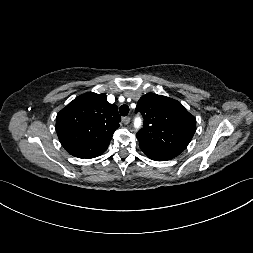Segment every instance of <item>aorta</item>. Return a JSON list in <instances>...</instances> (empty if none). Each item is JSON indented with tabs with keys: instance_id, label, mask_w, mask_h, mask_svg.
Segmentation results:
<instances>
[{
	"instance_id": "762f6f07",
	"label": "aorta",
	"mask_w": 253,
	"mask_h": 253,
	"mask_svg": "<svg viewBox=\"0 0 253 253\" xmlns=\"http://www.w3.org/2000/svg\"><path fill=\"white\" fill-rule=\"evenodd\" d=\"M134 125H135L136 128H139L140 125H141V120L140 119H136Z\"/></svg>"
}]
</instances>
